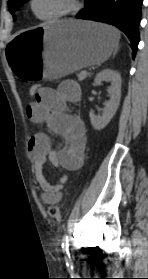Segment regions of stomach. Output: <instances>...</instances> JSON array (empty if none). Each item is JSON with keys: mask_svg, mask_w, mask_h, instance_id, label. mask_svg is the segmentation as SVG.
<instances>
[{"mask_svg": "<svg viewBox=\"0 0 148 279\" xmlns=\"http://www.w3.org/2000/svg\"><path fill=\"white\" fill-rule=\"evenodd\" d=\"M119 40L108 25L81 21L47 23L18 33L6 45V59L16 82H54L106 61Z\"/></svg>", "mask_w": 148, "mask_h": 279, "instance_id": "stomach-1", "label": "stomach"}]
</instances>
